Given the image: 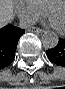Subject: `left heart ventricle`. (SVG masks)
Here are the masks:
<instances>
[{
  "instance_id": "b2bd125f",
  "label": "left heart ventricle",
  "mask_w": 65,
  "mask_h": 89,
  "mask_svg": "<svg viewBox=\"0 0 65 89\" xmlns=\"http://www.w3.org/2000/svg\"><path fill=\"white\" fill-rule=\"evenodd\" d=\"M50 16L60 29H65V7L63 5L52 6L50 8Z\"/></svg>"
}]
</instances>
